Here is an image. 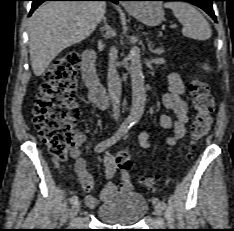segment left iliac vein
Listing matches in <instances>:
<instances>
[{"label":"left iliac vein","instance_id":"1","mask_svg":"<svg viewBox=\"0 0 234 231\" xmlns=\"http://www.w3.org/2000/svg\"><path fill=\"white\" fill-rule=\"evenodd\" d=\"M153 206H154V209H155L156 214H157V215H161L163 209H162V207L160 206V203H159V201H158L157 198H155V199L153 200Z\"/></svg>","mask_w":234,"mask_h":231}]
</instances>
